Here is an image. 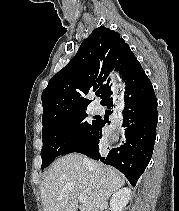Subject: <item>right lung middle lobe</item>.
Segmentation results:
<instances>
[{
  "mask_svg": "<svg viewBox=\"0 0 179 211\" xmlns=\"http://www.w3.org/2000/svg\"><path fill=\"white\" fill-rule=\"evenodd\" d=\"M86 110L59 116L43 126L42 169L57 156L74 152L92 135L100 120L87 121Z\"/></svg>",
  "mask_w": 179,
  "mask_h": 211,
  "instance_id": "obj_1",
  "label": "right lung middle lobe"
}]
</instances>
